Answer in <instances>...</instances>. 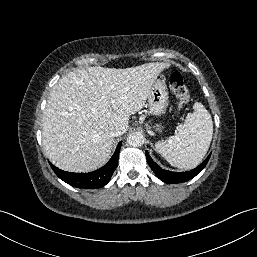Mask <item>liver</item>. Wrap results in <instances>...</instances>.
Returning <instances> with one entry per match:
<instances>
[{
  "label": "liver",
  "mask_w": 257,
  "mask_h": 257,
  "mask_svg": "<svg viewBox=\"0 0 257 257\" xmlns=\"http://www.w3.org/2000/svg\"><path fill=\"white\" fill-rule=\"evenodd\" d=\"M169 63L116 69H76L52 88L43 112L42 142L48 159L70 172H90L110 158L113 129L128 130L157 76Z\"/></svg>",
  "instance_id": "obj_1"
}]
</instances>
